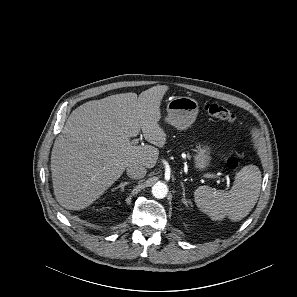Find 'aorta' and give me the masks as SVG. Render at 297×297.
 <instances>
[{
    "label": "aorta",
    "mask_w": 297,
    "mask_h": 297,
    "mask_svg": "<svg viewBox=\"0 0 297 297\" xmlns=\"http://www.w3.org/2000/svg\"><path fill=\"white\" fill-rule=\"evenodd\" d=\"M168 193V187L163 182H157L152 187V194L155 198L162 199L165 198Z\"/></svg>",
    "instance_id": "1"
}]
</instances>
